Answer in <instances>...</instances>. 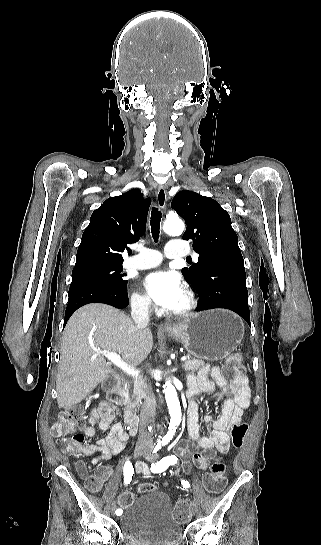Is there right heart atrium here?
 I'll return each instance as SVG.
<instances>
[{
  "label": "right heart atrium",
  "mask_w": 321,
  "mask_h": 545,
  "mask_svg": "<svg viewBox=\"0 0 321 545\" xmlns=\"http://www.w3.org/2000/svg\"><path fill=\"white\" fill-rule=\"evenodd\" d=\"M131 308L140 315L149 316L153 313V306L149 299L140 294L133 293L130 297Z\"/></svg>",
  "instance_id": "obj_1"
}]
</instances>
